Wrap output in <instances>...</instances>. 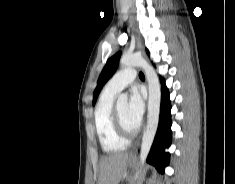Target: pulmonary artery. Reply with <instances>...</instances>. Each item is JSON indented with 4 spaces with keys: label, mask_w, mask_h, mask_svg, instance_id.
<instances>
[{
    "label": "pulmonary artery",
    "mask_w": 235,
    "mask_h": 184,
    "mask_svg": "<svg viewBox=\"0 0 235 184\" xmlns=\"http://www.w3.org/2000/svg\"><path fill=\"white\" fill-rule=\"evenodd\" d=\"M136 79V71L124 69L116 73L105 85L104 92L109 95H116Z\"/></svg>",
    "instance_id": "pulmonary-artery-1"
}]
</instances>
